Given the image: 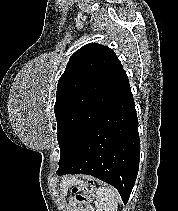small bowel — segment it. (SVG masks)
<instances>
[{"instance_id": "small-bowel-1", "label": "small bowel", "mask_w": 178, "mask_h": 211, "mask_svg": "<svg viewBox=\"0 0 178 211\" xmlns=\"http://www.w3.org/2000/svg\"><path fill=\"white\" fill-rule=\"evenodd\" d=\"M73 211H86V208H81L78 205H74Z\"/></svg>"}]
</instances>
